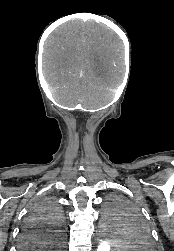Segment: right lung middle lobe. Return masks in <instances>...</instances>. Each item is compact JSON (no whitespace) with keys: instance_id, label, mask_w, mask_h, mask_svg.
Returning a JSON list of instances; mask_svg holds the SVG:
<instances>
[{"instance_id":"1","label":"right lung middle lobe","mask_w":174,"mask_h":251,"mask_svg":"<svg viewBox=\"0 0 174 251\" xmlns=\"http://www.w3.org/2000/svg\"><path fill=\"white\" fill-rule=\"evenodd\" d=\"M63 223L64 215L60 207L51 199H42L32 207L26 224L37 227L38 234H45L52 240L51 244L59 248Z\"/></svg>"}]
</instances>
